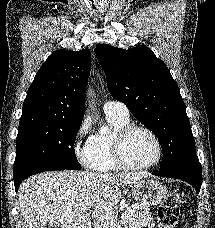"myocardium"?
<instances>
[{"label": "myocardium", "instance_id": "f54148a6", "mask_svg": "<svg viewBox=\"0 0 215 228\" xmlns=\"http://www.w3.org/2000/svg\"><path fill=\"white\" fill-rule=\"evenodd\" d=\"M136 129L145 131L151 137L156 149V154L154 159L139 166H134L129 164L125 159L124 153H123V145L125 140L129 136V134ZM112 151H113L114 160L117 166L127 171H141V170L148 169L158 164L162 158V145H161L160 139L150 127L140 123H128L127 125L120 128L114 135L113 142H112Z\"/></svg>", "mask_w": 215, "mask_h": 228}]
</instances>
